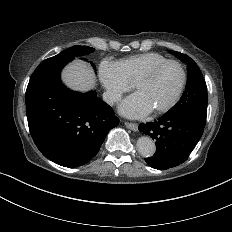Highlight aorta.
<instances>
[{
  "mask_svg": "<svg viewBox=\"0 0 232 232\" xmlns=\"http://www.w3.org/2000/svg\"><path fill=\"white\" fill-rule=\"evenodd\" d=\"M137 149L143 157H151L155 153L156 146L150 137L142 136L137 141Z\"/></svg>",
  "mask_w": 232,
  "mask_h": 232,
  "instance_id": "aorta-1",
  "label": "aorta"
}]
</instances>
